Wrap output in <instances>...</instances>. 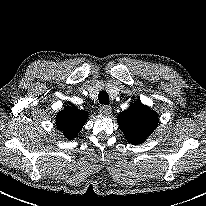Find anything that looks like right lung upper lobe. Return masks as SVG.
<instances>
[{"instance_id": "obj_1", "label": "right lung upper lobe", "mask_w": 206, "mask_h": 206, "mask_svg": "<svg viewBox=\"0 0 206 206\" xmlns=\"http://www.w3.org/2000/svg\"><path fill=\"white\" fill-rule=\"evenodd\" d=\"M87 119L88 114L85 111L67 106L56 116V126L70 140L78 135Z\"/></svg>"}]
</instances>
